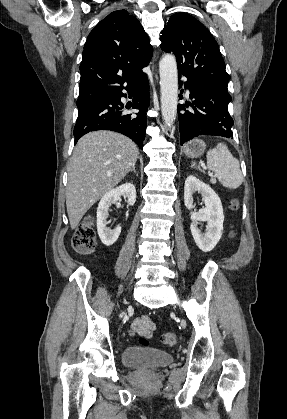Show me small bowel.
<instances>
[{
  "instance_id": "small-bowel-1",
  "label": "small bowel",
  "mask_w": 287,
  "mask_h": 419,
  "mask_svg": "<svg viewBox=\"0 0 287 419\" xmlns=\"http://www.w3.org/2000/svg\"><path fill=\"white\" fill-rule=\"evenodd\" d=\"M131 330L134 334L149 338L153 333L154 323L148 316L142 315L133 321Z\"/></svg>"
}]
</instances>
